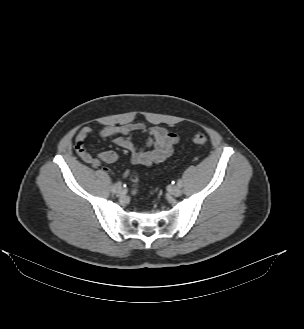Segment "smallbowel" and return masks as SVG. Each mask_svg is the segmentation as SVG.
Here are the masks:
<instances>
[{"mask_svg":"<svg viewBox=\"0 0 304 329\" xmlns=\"http://www.w3.org/2000/svg\"><path fill=\"white\" fill-rule=\"evenodd\" d=\"M134 132H142L149 138L151 148L149 150L138 149L133 140ZM92 134V129L83 127L75 138V149L78 155L87 163L93 166H100L102 163H113L117 161L118 154L114 151H103L97 156L89 154L85 148L87 138ZM99 136L109 140L117 146L130 153L131 163L134 165L150 166L166 160L173 153L178 143V136L161 126H147L144 123H128L120 126L109 125L100 129ZM129 170L124 172L128 176Z\"/></svg>","mask_w":304,"mask_h":329,"instance_id":"c3829d8e","label":"small bowel"}]
</instances>
